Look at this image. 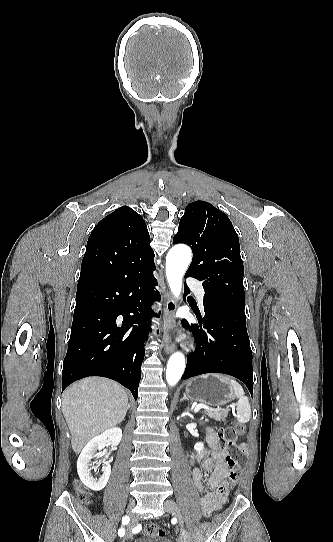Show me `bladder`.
Here are the masks:
<instances>
[{"instance_id": "1", "label": "bladder", "mask_w": 333, "mask_h": 542, "mask_svg": "<svg viewBox=\"0 0 333 542\" xmlns=\"http://www.w3.org/2000/svg\"><path fill=\"white\" fill-rule=\"evenodd\" d=\"M134 542H173L168 537H165L164 535H146L138 540H135Z\"/></svg>"}]
</instances>
